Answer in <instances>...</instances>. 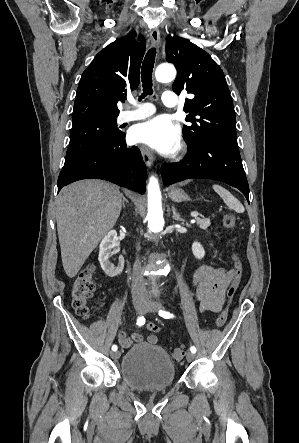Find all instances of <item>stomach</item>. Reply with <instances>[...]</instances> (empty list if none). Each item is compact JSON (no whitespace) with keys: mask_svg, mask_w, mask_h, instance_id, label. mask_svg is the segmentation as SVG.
Returning a JSON list of instances; mask_svg holds the SVG:
<instances>
[{"mask_svg":"<svg viewBox=\"0 0 299 443\" xmlns=\"http://www.w3.org/2000/svg\"><path fill=\"white\" fill-rule=\"evenodd\" d=\"M170 198L175 202H181L184 200H188V195L179 188H171L169 192Z\"/></svg>","mask_w":299,"mask_h":443,"instance_id":"1","label":"stomach"}]
</instances>
